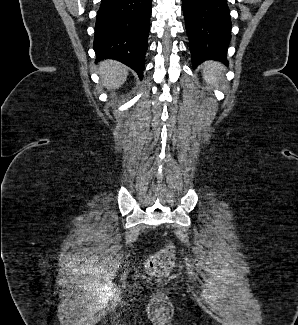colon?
I'll use <instances>...</instances> for the list:
<instances>
[{"mask_svg":"<svg viewBox=\"0 0 298 325\" xmlns=\"http://www.w3.org/2000/svg\"><path fill=\"white\" fill-rule=\"evenodd\" d=\"M173 266V252L170 249L163 250L152 256L147 262V270L153 275H165Z\"/></svg>","mask_w":298,"mask_h":325,"instance_id":"obj_1","label":"colon"}]
</instances>
